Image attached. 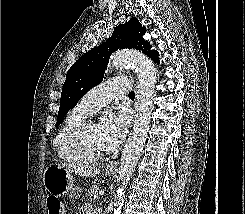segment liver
I'll return each mask as SVG.
<instances>
[{
    "label": "liver",
    "instance_id": "6515ba94",
    "mask_svg": "<svg viewBox=\"0 0 245 214\" xmlns=\"http://www.w3.org/2000/svg\"><path fill=\"white\" fill-rule=\"evenodd\" d=\"M62 167L71 173L78 174L80 176H96L100 170L95 167H76L70 164H62Z\"/></svg>",
    "mask_w": 245,
    "mask_h": 214
}]
</instances>
